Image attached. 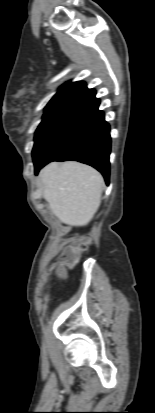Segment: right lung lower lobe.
Here are the masks:
<instances>
[{"instance_id":"right-lung-lower-lobe-1","label":"right lung lower lobe","mask_w":155,"mask_h":413,"mask_svg":"<svg viewBox=\"0 0 155 413\" xmlns=\"http://www.w3.org/2000/svg\"><path fill=\"white\" fill-rule=\"evenodd\" d=\"M100 100L95 96L82 103L67 129L48 155L35 164V173L51 161L74 160L93 166L109 184L111 137Z\"/></svg>"}]
</instances>
